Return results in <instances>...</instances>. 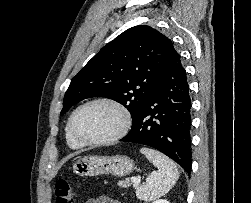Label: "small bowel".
Listing matches in <instances>:
<instances>
[{"instance_id": "c3829d8e", "label": "small bowel", "mask_w": 251, "mask_h": 203, "mask_svg": "<svg viewBox=\"0 0 251 203\" xmlns=\"http://www.w3.org/2000/svg\"><path fill=\"white\" fill-rule=\"evenodd\" d=\"M86 203H119V202L112 198L100 197L97 199H90Z\"/></svg>"}]
</instances>
